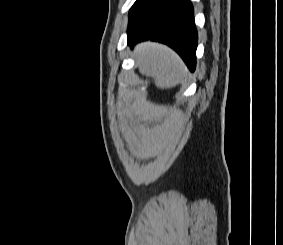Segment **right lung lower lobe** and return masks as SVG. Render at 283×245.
Masks as SVG:
<instances>
[{"label": "right lung lower lobe", "instance_id": "obj_1", "mask_svg": "<svg viewBox=\"0 0 283 245\" xmlns=\"http://www.w3.org/2000/svg\"><path fill=\"white\" fill-rule=\"evenodd\" d=\"M128 45L154 40L173 48L195 70L197 31L189 0H153L129 20Z\"/></svg>", "mask_w": 283, "mask_h": 245}]
</instances>
